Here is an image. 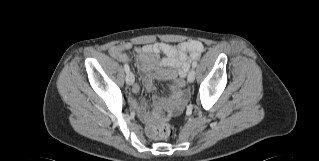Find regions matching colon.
Returning <instances> with one entry per match:
<instances>
[{
	"label": "colon",
	"instance_id": "obj_1",
	"mask_svg": "<svg viewBox=\"0 0 319 161\" xmlns=\"http://www.w3.org/2000/svg\"><path fill=\"white\" fill-rule=\"evenodd\" d=\"M171 113L166 108L158 109L149 119L146 127L147 135L152 139H166L172 134V126L169 123Z\"/></svg>",
	"mask_w": 319,
	"mask_h": 161
}]
</instances>
